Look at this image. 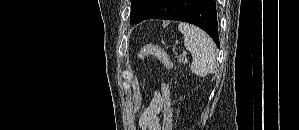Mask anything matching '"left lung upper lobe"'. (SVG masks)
<instances>
[{
    "label": "left lung upper lobe",
    "instance_id": "1",
    "mask_svg": "<svg viewBox=\"0 0 299 130\" xmlns=\"http://www.w3.org/2000/svg\"><path fill=\"white\" fill-rule=\"evenodd\" d=\"M149 10V0H132L130 21L138 23Z\"/></svg>",
    "mask_w": 299,
    "mask_h": 130
}]
</instances>
